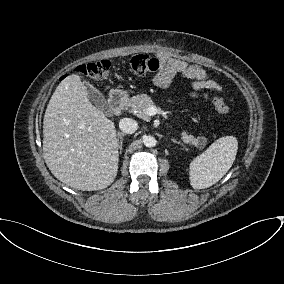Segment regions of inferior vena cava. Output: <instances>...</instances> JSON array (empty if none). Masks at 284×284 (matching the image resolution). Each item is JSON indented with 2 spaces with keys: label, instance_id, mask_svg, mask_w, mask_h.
Masks as SVG:
<instances>
[{
  "label": "inferior vena cava",
  "instance_id": "1",
  "mask_svg": "<svg viewBox=\"0 0 284 284\" xmlns=\"http://www.w3.org/2000/svg\"><path fill=\"white\" fill-rule=\"evenodd\" d=\"M119 128L126 134H132L137 130L138 123L131 118H123L119 122Z\"/></svg>",
  "mask_w": 284,
  "mask_h": 284
}]
</instances>
